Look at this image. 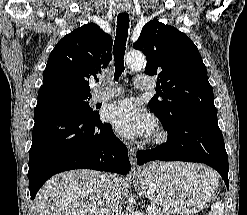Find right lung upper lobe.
Returning <instances> with one entry per match:
<instances>
[{"label": "right lung upper lobe", "instance_id": "cb5924a9", "mask_svg": "<svg viewBox=\"0 0 247 215\" xmlns=\"http://www.w3.org/2000/svg\"><path fill=\"white\" fill-rule=\"evenodd\" d=\"M111 49V36L96 24H85L74 30L51 51L42 89L64 88L91 95L89 79H96L108 65L112 59Z\"/></svg>", "mask_w": 247, "mask_h": 215}]
</instances>
